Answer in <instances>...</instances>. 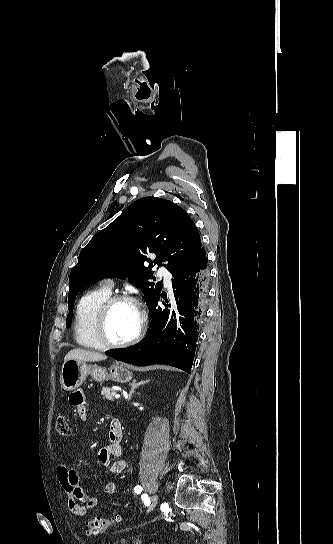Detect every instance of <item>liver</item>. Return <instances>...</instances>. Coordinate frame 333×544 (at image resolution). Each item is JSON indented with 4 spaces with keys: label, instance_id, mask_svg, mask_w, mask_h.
<instances>
[{
    "label": "liver",
    "instance_id": "1",
    "mask_svg": "<svg viewBox=\"0 0 333 544\" xmlns=\"http://www.w3.org/2000/svg\"><path fill=\"white\" fill-rule=\"evenodd\" d=\"M106 358L107 356L101 353L85 350L81 348H76L69 351L66 354L64 361L73 359V360H78L83 362H96V361L105 360Z\"/></svg>",
    "mask_w": 333,
    "mask_h": 544
}]
</instances>
